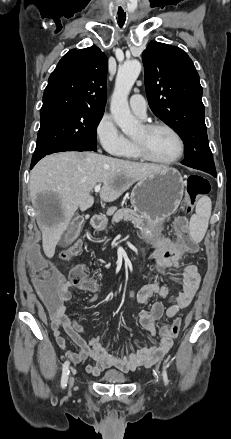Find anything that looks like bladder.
<instances>
[{
    "label": "bladder",
    "instance_id": "bladder-1",
    "mask_svg": "<svg viewBox=\"0 0 231 439\" xmlns=\"http://www.w3.org/2000/svg\"><path fill=\"white\" fill-rule=\"evenodd\" d=\"M102 381L109 384H123L128 381V378L118 370H108L103 374Z\"/></svg>",
    "mask_w": 231,
    "mask_h": 439
}]
</instances>
